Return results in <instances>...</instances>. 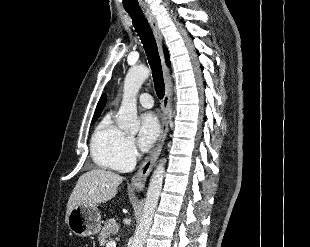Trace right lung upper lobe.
<instances>
[{
    "label": "right lung upper lobe",
    "mask_w": 310,
    "mask_h": 247,
    "mask_svg": "<svg viewBox=\"0 0 310 247\" xmlns=\"http://www.w3.org/2000/svg\"><path fill=\"white\" fill-rule=\"evenodd\" d=\"M164 53H165L166 63L167 65H170L168 51L165 47H164ZM105 103H106V94H103L97 104L94 117L99 116L101 114Z\"/></svg>",
    "instance_id": "right-lung-upper-lobe-1"
}]
</instances>
